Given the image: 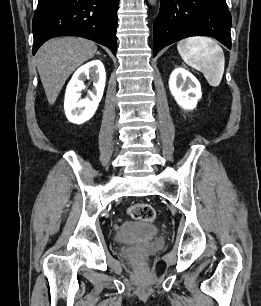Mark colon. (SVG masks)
<instances>
[{
  "instance_id": "5ec220e1",
  "label": "colon",
  "mask_w": 261,
  "mask_h": 306,
  "mask_svg": "<svg viewBox=\"0 0 261 306\" xmlns=\"http://www.w3.org/2000/svg\"><path fill=\"white\" fill-rule=\"evenodd\" d=\"M128 214L136 220L151 223L156 218L155 209L147 203H137L131 205L128 210Z\"/></svg>"
}]
</instances>
